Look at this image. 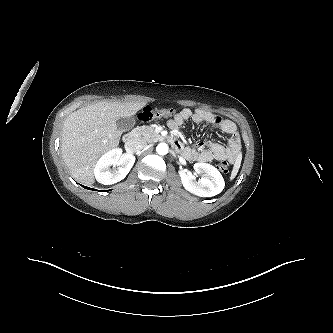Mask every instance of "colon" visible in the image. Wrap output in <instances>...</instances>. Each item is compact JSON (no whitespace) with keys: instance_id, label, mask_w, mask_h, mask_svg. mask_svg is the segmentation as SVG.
I'll use <instances>...</instances> for the list:
<instances>
[{"instance_id":"obj_1","label":"colon","mask_w":333,"mask_h":333,"mask_svg":"<svg viewBox=\"0 0 333 333\" xmlns=\"http://www.w3.org/2000/svg\"><path fill=\"white\" fill-rule=\"evenodd\" d=\"M175 114V110L172 108H162V109H155L152 107H145L141 110V112L138 114V119L140 122L145 123L153 119L158 118H166L173 116ZM217 168L223 172H228V162L222 161L218 164Z\"/></svg>"}]
</instances>
